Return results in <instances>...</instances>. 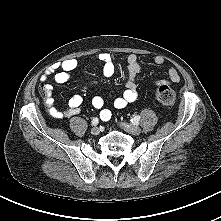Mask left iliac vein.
Returning <instances> with one entry per match:
<instances>
[{"instance_id":"4c4485c4","label":"left iliac vein","mask_w":221,"mask_h":221,"mask_svg":"<svg viewBox=\"0 0 221 221\" xmlns=\"http://www.w3.org/2000/svg\"><path fill=\"white\" fill-rule=\"evenodd\" d=\"M121 128L124 129L126 132L132 135H139L141 133V129L138 126L131 125L128 123H121Z\"/></svg>"}]
</instances>
